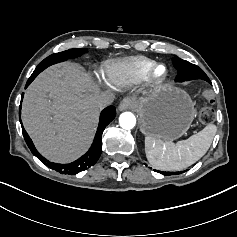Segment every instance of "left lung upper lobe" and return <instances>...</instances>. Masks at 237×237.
I'll return each instance as SVG.
<instances>
[{
    "label": "left lung upper lobe",
    "instance_id": "1",
    "mask_svg": "<svg viewBox=\"0 0 237 237\" xmlns=\"http://www.w3.org/2000/svg\"><path fill=\"white\" fill-rule=\"evenodd\" d=\"M172 62H173L174 67L178 71V75L175 81L184 82V81H189V80H194V79H202L211 84V81L209 80L208 76L197 65H194L188 61L182 60L177 56H175L172 59ZM158 172L168 173L171 175L177 173V172L171 173V172H161V171H158Z\"/></svg>",
    "mask_w": 237,
    "mask_h": 237
}]
</instances>
